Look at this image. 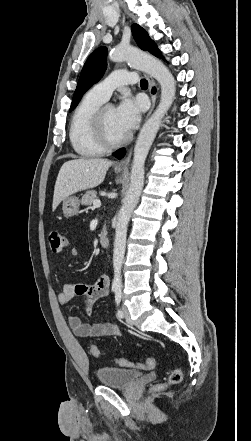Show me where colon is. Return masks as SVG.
Returning <instances> with one entry per match:
<instances>
[{
    "mask_svg": "<svg viewBox=\"0 0 251 441\" xmlns=\"http://www.w3.org/2000/svg\"><path fill=\"white\" fill-rule=\"evenodd\" d=\"M48 244L53 253H61L66 245L67 239L64 234L57 230H52L48 233ZM90 354L93 357H99L100 351L96 345H91L89 348ZM116 363L124 368H153L155 365V360L153 358H148L143 362H135L123 358H117ZM182 380V373L179 368H173L169 373L166 381L164 383L157 384L154 389L161 390L170 385H176Z\"/></svg>",
    "mask_w": 251,
    "mask_h": 441,
    "instance_id": "obj_1",
    "label": "colon"
}]
</instances>
